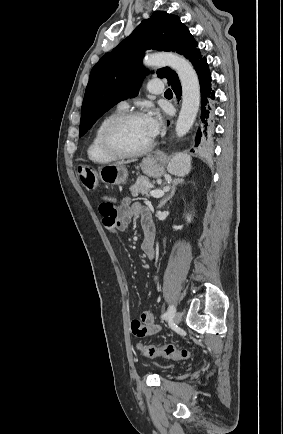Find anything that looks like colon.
<instances>
[{
	"mask_svg": "<svg viewBox=\"0 0 283 434\" xmlns=\"http://www.w3.org/2000/svg\"><path fill=\"white\" fill-rule=\"evenodd\" d=\"M79 177L87 189L93 190L97 187V175L94 169L90 167H80ZM137 347L138 350L148 358L163 356L173 360H186L191 357V353L188 350L177 349L173 345L156 347L152 345L138 344Z\"/></svg>",
	"mask_w": 283,
	"mask_h": 434,
	"instance_id": "colon-1",
	"label": "colon"
}]
</instances>
